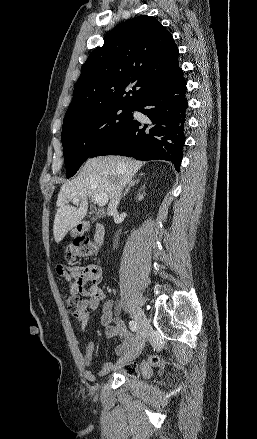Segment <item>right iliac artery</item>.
Instances as JSON below:
<instances>
[{"instance_id":"right-iliac-artery-1","label":"right iliac artery","mask_w":257,"mask_h":439,"mask_svg":"<svg viewBox=\"0 0 257 439\" xmlns=\"http://www.w3.org/2000/svg\"><path fill=\"white\" fill-rule=\"evenodd\" d=\"M129 328L131 329V331H133V332H137V330H138V324H137V322L134 321V320H131V321L129 322Z\"/></svg>"}]
</instances>
